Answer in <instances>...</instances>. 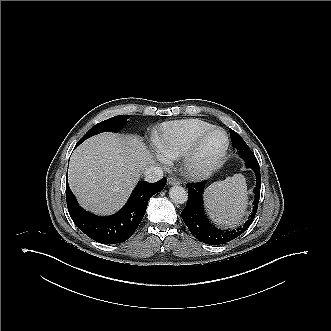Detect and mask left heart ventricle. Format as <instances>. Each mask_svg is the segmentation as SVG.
<instances>
[{"instance_id":"1","label":"left heart ventricle","mask_w":331,"mask_h":331,"mask_svg":"<svg viewBox=\"0 0 331 331\" xmlns=\"http://www.w3.org/2000/svg\"><path fill=\"white\" fill-rule=\"evenodd\" d=\"M224 135L221 132H214L203 143L200 150V158L203 161H210L217 157L224 146Z\"/></svg>"}]
</instances>
